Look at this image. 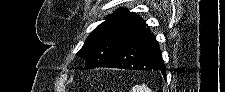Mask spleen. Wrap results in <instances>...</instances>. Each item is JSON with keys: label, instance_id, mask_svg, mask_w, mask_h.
<instances>
[{"label": "spleen", "instance_id": "obj_1", "mask_svg": "<svg viewBox=\"0 0 225 92\" xmlns=\"http://www.w3.org/2000/svg\"><path fill=\"white\" fill-rule=\"evenodd\" d=\"M132 92H151V89L143 84L142 86L133 87Z\"/></svg>", "mask_w": 225, "mask_h": 92}]
</instances>
